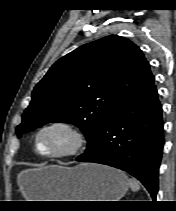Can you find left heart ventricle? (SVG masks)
Masks as SVG:
<instances>
[{
  "mask_svg": "<svg viewBox=\"0 0 176 211\" xmlns=\"http://www.w3.org/2000/svg\"><path fill=\"white\" fill-rule=\"evenodd\" d=\"M69 144V137L59 130L47 131L38 139V147L42 152L63 150L66 149Z\"/></svg>",
  "mask_w": 176,
  "mask_h": 211,
  "instance_id": "b2bd125f",
  "label": "left heart ventricle"
}]
</instances>
